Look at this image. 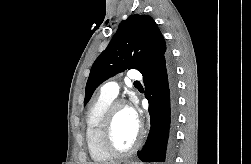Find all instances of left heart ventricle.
<instances>
[{"instance_id":"1","label":"left heart ventricle","mask_w":251,"mask_h":164,"mask_svg":"<svg viewBox=\"0 0 251 164\" xmlns=\"http://www.w3.org/2000/svg\"><path fill=\"white\" fill-rule=\"evenodd\" d=\"M138 126L131 120L127 108L118 109L115 121L113 139L119 149L130 148L137 138Z\"/></svg>"}]
</instances>
